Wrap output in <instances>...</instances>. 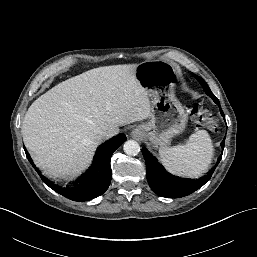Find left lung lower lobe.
I'll use <instances>...</instances> for the list:
<instances>
[{
	"label": "left lung lower lobe",
	"mask_w": 257,
	"mask_h": 257,
	"mask_svg": "<svg viewBox=\"0 0 257 257\" xmlns=\"http://www.w3.org/2000/svg\"><path fill=\"white\" fill-rule=\"evenodd\" d=\"M215 103L220 107L219 100ZM220 110L222 116H224L221 107ZM224 143L225 140L221 143L222 149H224ZM142 153L146 162V174L150 187L157 195L167 198H180L193 193L211 178L216 168L215 166L206 176L199 179L179 178L167 173L146 148H142Z\"/></svg>",
	"instance_id": "obj_1"
}]
</instances>
